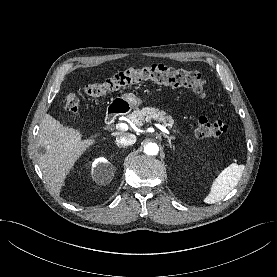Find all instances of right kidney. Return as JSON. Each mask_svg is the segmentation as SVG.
<instances>
[{
    "label": "right kidney",
    "mask_w": 277,
    "mask_h": 277,
    "mask_svg": "<svg viewBox=\"0 0 277 277\" xmlns=\"http://www.w3.org/2000/svg\"><path fill=\"white\" fill-rule=\"evenodd\" d=\"M98 165L99 167H107L108 166V161L104 158L98 159ZM99 169L95 170V178L98 182L103 183L107 180L105 177L102 168L98 171Z\"/></svg>",
    "instance_id": "1"
}]
</instances>
